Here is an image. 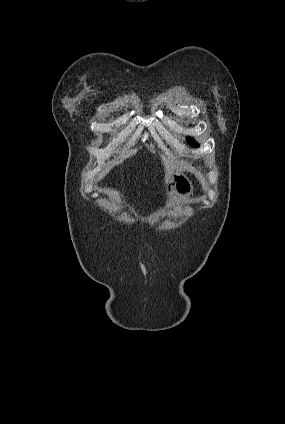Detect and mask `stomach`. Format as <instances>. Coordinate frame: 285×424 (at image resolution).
<instances>
[{
	"mask_svg": "<svg viewBox=\"0 0 285 424\" xmlns=\"http://www.w3.org/2000/svg\"><path fill=\"white\" fill-rule=\"evenodd\" d=\"M193 193V185L182 172H174L167 182L166 195L170 201L185 200Z\"/></svg>",
	"mask_w": 285,
	"mask_h": 424,
	"instance_id": "1",
	"label": "stomach"
}]
</instances>
